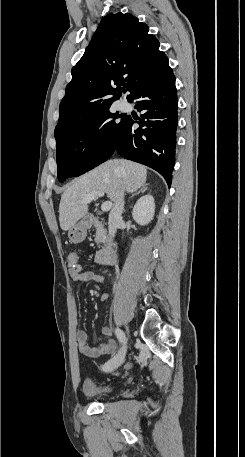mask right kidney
<instances>
[{"label":"right kidney","mask_w":245,"mask_h":457,"mask_svg":"<svg viewBox=\"0 0 245 457\" xmlns=\"http://www.w3.org/2000/svg\"><path fill=\"white\" fill-rule=\"evenodd\" d=\"M155 212V202L152 194H145L137 200L132 210V216L138 224H148Z\"/></svg>","instance_id":"obj_1"}]
</instances>
